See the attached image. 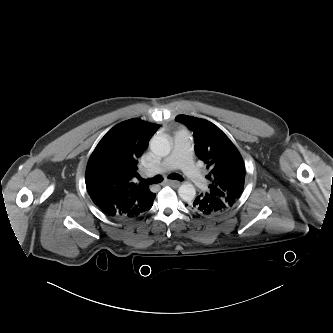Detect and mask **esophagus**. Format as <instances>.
<instances>
[{"mask_svg":"<svg viewBox=\"0 0 333 333\" xmlns=\"http://www.w3.org/2000/svg\"><path fill=\"white\" fill-rule=\"evenodd\" d=\"M163 185H168V186L177 188V187H179L180 182L174 181V180H166V181H164Z\"/></svg>","mask_w":333,"mask_h":333,"instance_id":"esophagus-1","label":"esophagus"}]
</instances>
